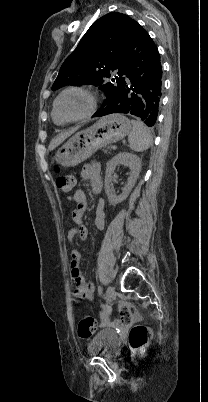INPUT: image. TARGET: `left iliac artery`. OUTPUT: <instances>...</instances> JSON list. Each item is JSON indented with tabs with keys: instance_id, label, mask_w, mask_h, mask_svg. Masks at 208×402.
<instances>
[{
	"instance_id": "44dca946",
	"label": "left iliac artery",
	"mask_w": 208,
	"mask_h": 402,
	"mask_svg": "<svg viewBox=\"0 0 208 402\" xmlns=\"http://www.w3.org/2000/svg\"><path fill=\"white\" fill-rule=\"evenodd\" d=\"M102 291H103L102 287L99 286V287H98V294L101 295V294H102Z\"/></svg>"
}]
</instances>
